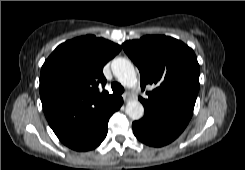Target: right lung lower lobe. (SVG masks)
<instances>
[{"label": "right lung lower lobe", "instance_id": "98d812e1", "mask_svg": "<svg viewBox=\"0 0 245 170\" xmlns=\"http://www.w3.org/2000/svg\"><path fill=\"white\" fill-rule=\"evenodd\" d=\"M123 103L121 97L107 109L104 115L95 122V124L79 139L67 145L76 151H88L96 148L106 137L108 131V120L110 116L119 108Z\"/></svg>", "mask_w": 245, "mask_h": 170}]
</instances>
